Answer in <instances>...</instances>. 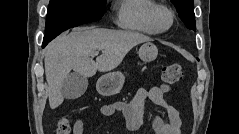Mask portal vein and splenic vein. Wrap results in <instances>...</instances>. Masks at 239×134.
Here are the masks:
<instances>
[{"label": "portal vein and splenic vein", "instance_id": "portal-vein-and-splenic-vein-1", "mask_svg": "<svg viewBox=\"0 0 239 134\" xmlns=\"http://www.w3.org/2000/svg\"><path fill=\"white\" fill-rule=\"evenodd\" d=\"M92 54H93V55H97V54H98V51H95V52H93Z\"/></svg>", "mask_w": 239, "mask_h": 134}]
</instances>
